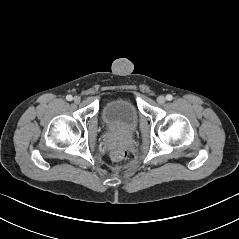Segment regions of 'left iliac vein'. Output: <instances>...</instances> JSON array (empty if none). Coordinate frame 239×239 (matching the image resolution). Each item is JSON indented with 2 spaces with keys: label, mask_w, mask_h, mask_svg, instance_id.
Instances as JSON below:
<instances>
[{
  "label": "left iliac vein",
  "mask_w": 239,
  "mask_h": 239,
  "mask_svg": "<svg viewBox=\"0 0 239 239\" xmlns=\"http://www.w3.org/2000/svg\"><path fill=\"white\" fill-rule=\"evenodd\" d=\"M165 101H166V98H165L164 96H158V97H157V102H158L159 104H164Z\"/></svg>",
  "instance_id": "left-iliac-vein-1"
}]
</instances>
